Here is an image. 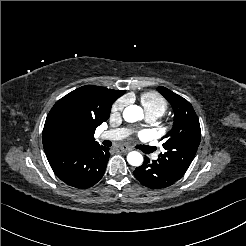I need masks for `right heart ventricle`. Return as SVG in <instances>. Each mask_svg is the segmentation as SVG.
Wrapping results in <instances>:
<instances>
[{"instance_id":"e07e8e85","label":"right heart ventricle","mask_w":246,"mask_h":246,"mask_svg":"<svg viewBox=\"0 0 246 246\" xmlns=\"http://www.w3.org/2000/svg\"><path fill=\"white\" fill-rule=\"evenodd\" d=\"M140 101L147 115L162 116L169 108L167 99L156 91H146L140 95Z\"/></svg>"}]
</instances>
